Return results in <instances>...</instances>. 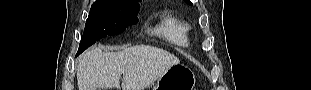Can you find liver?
Returning <instances> with one entry per match:
<instances>
[{
  "label": "liver",
  "mask_w": 311,
  "mask_h": 90,
  "mask_svg": "<svg viewBox=\"0 0 311 90\" xmlns=\"http://www.w3.org/2000/svg\"><path fill=\"white\" fill-rule=\"evenodd\" d=\"M179 59L170 52L148 45L133 46L120 52H103L95 47L87 50L77 65L79 90L119 88L144 90L158 80Z\"/></svg>",
  "instance_id": "1"
}]
</instances>
